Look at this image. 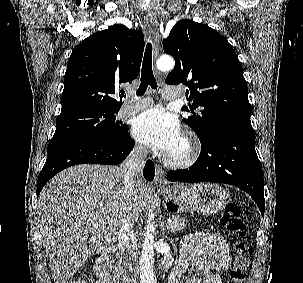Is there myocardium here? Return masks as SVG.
Segmentation results:
<instances>
[{
	"label": "myocardium",
	"instance_id": "obj_1",
	"mask_svg": "<svg viewBox=\"0 0 303 283\" xmlns=\"http://www.w3.org/2000/svg\"><path fill=\"white\" fill-rule=\"evenodd\" d=\"M184 151L179 155L167 154L164 162L167 166L177 169L188 168L198 159L201 152V144L197 135L192 131H186L182 136Z\"/></svg>",
	"mask_w": 303,
	"mask_h": 283
}]
</instances>
